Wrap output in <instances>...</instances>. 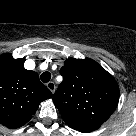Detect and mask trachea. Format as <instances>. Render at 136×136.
Masks as SVG:
<instances>
[{
	"label": "trachea",
	"instance_id": "trachea-1",
	"mask_svg": "<svg viewBox=\"0 0 136 136\" xmlns=\"http://www.w3.org/2000/svg\"><path fill=\"white\" fill-rule=\"evenodd\" d=\"M40 79L43 83H47L50 81L51 79V74L50 72L46 71V72H43L40 76Z\"/></svg>",
	"mask_w": 136,
	"mask_h": 136
}]
</instances>
